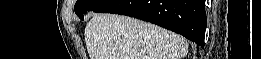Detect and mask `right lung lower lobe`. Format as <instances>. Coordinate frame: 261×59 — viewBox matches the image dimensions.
I'll return each instance as SVG.
<instances>
[{"label":"right lung lower lobe","mask_w":261,"mask_h":59,"mask_svg":"<svg viewBox=\"0 0 261 59\" xmlns=\"http://www.w3.org/2000/svg\"><path fill=\"white\" fill-rule=\"evenodd\" d=\"M94 12L127 15L151 22L204 46L205 0H108Z\"/></svg>","instance_id":"1"}]
</instances>
